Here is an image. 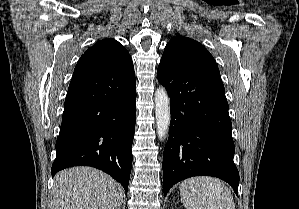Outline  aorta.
Here are the masks:
<instances>
[{
	"label": "aorta",
	"mask_w": 299,
	"mask_h": 209,
	"mask_svg": "<svg viewBox=\"0 0 299 209\" xmlns=\"http://www.w3.org/2000/svg\"><path fill=\"white\" fill-rule=\"evenodd\" d=\"M154 101L157 135L160 140H163L168 134L171 120L170 98L163 86H159L155 91Z\"/></svg>",
	"instance_id": "1"
}]
</instances>
